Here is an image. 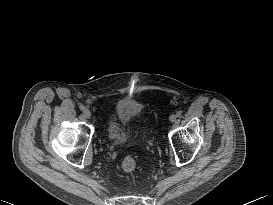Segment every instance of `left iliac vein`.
<instances>
[{
    "label": "left iliac vein",
    "mask_w": 273,
    "mask_h": 205,
    "mask_svg": "<svg viewBox=\"0 0 273 205\" xmlns=\"http://www.w3.org/2000/svg\"><path fill=\"white\" fill-rule=\"evenodd\" d=\"M176 119H177V116H176L175 114H171L170 117H169V120H170L171 122H175Z\"/></svg>",
    "instance_id": "obj_1"
}]
</instances>
